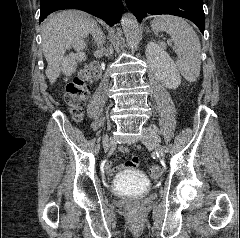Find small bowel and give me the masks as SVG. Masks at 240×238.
I'll return each mask as SVG.
<instances>
[{
  "label": "small bowel",
  "instance_id": "obj_1",
  "mask_svg": "<svg viewBox=\"0 0 240 238\" xmlns=\"http://www.w3.org/2000/svg\"><path fill=\"white\" fill-rule=\"evenodd\" d=\"M134 144L133 143H120V146L117 147L118 151H122L124 153L128 152L127 148H133ZM128 155L130 156L129 159H126V164H117L116 167H111L110 165L106 166V175H112L114 172H117L118 169H129L132 167H138L140 164V159L139 156H132L133 152L129 151Z\"/></svg>",
  "mask_w": 240,
  "mask_h": 238
}]
</instances>
